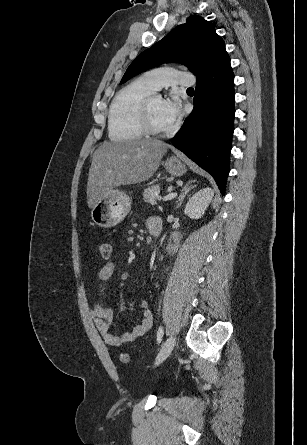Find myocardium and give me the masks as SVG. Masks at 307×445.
<instances>
[{
  "label": "myocardium",
  "mask_w": 307,
  "mask_h": 445,
  "mask_svg": "<svg viewBox=\"0 0 307 445\" xmlns=\"http://www.w3.org/2000/svg\"><path fill=\"white\" fill-rule=\"evenodd\" d=\"M160 97L158 93H152L149 97L146 98V100L143 102L141 108H140V115L142 118L143 125L145 127L146 133L152 135V136H159V135H168L173 134L177 128L178 125L174 124L170 129L167 130H161L157 128L151 117V106L155 98ZM148 139H159L158 137H148Z\"/></svg>",
  "instance_id": "f54148a6"
}]
</instances>
